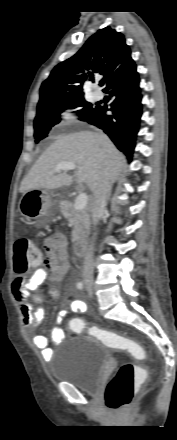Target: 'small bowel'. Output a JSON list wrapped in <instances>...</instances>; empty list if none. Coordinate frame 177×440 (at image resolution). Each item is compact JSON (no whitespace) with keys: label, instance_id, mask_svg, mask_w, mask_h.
Masks as SVG:
<instances>
[{"label":"small bowel","instance_id":"1","mask_svg":"<svg viewBox=\"0 0 177 440\" xmlns=\"http://www.w3.org/2000/svg\"><path fill=\"white\" fill-rule=\"evenodd\" d=\"M67 248L68 241L66 236L62 233H54L44 242L45 256L43 265L35 270L30 277L17 276L12 281L11 293L19 305L25 327H37L45 318V311L42 307L43 299L41 295L37 293V290L46 280L51 282L48 289L50 297L56 299L60 296L57 284L64 279L69 269ZM29 298H31L37 307L32 305ZM63 301L69 303L73 313L84 314L87 311V306L83 301L70 300L68 296H65ZM66 315V310L61 311L56 322L60 323ZM64 337V332L57 327L51 332V338L55 344L61 343ZM33 344L41 351L44 359L49 360L51 358L52 349L49 347L48 338L46 336L40 334L35 335L33 337Z\"/></svg>","mask_w":177,"mask_h":440}]
</instances>
